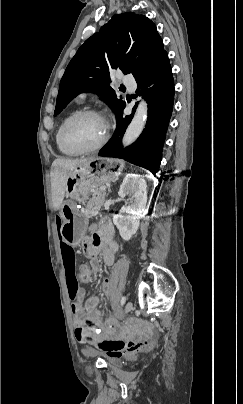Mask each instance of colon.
<instances>
[{
  "instance_id": "obj_1",
  "label": "colon",
  "mask_w": 243,
  "mask_h": 404,
  "mask_svg": "<svg viewBox=\"0 0 243 404\" xmlns=\"http://www.w3.org/2000/svg\"><path fill=\"white\" fill-rule=\"evenodd\" d=\"M95 277L96 274L91 264H80L78 278L82 283H90L94 281ZM103 291L108 296L112 293V284L109 277L104 279ZM152 344L153 340L147 335L129 341L106 337L96 343L99 348L116 355H134L150 348Z\"/></svg>"
}]
</instances>
